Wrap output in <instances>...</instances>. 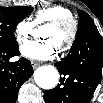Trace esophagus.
<instances>
[{
  "mask_svg": "<svg viewBox=\"0 0 103 103\" xmlns=\"http://www.w3.org/2000/svg\"><path fill=\"white\" fill-rule=\"evenodd\" d=\"M31 64H32L33 68H36V67H38L41 64V62L40 61H36V60H32Z\"/></svg>",
  "mask_w": 103,
  "mask_h": 103,
  "instance_id": "esophagus-1",
  "label": "esophagus"
}]
</instances>
